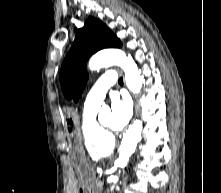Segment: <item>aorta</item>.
Instances as JSON below:
<instances>
[{
	"mask_svg": "<svg viewBox=\"0 0 221 193\" xmlns=\"http://www.w3.org/2000/svg\"><path fill=\"white\" fill-rule=\"evenodd\" d=\"M117 65L121 67L125 73V82L130 91L134 94H138L143 86V77L140 75L138 66L132 57L127 56L125 52L119 49L103 50L95 54L89 60V68L93 71L99 70L104 67H110ZM108 111L107 108H103L100 111V115ZM142 121L136 120L129 126L126 133L123 135L120 147L119 157L115 164L118 167L125 168L131 155L135 152L138 142L141 139ZM112 182L115 185L118 182V177L113 176ZM111 187V191L115 186Z\"/></svg>",
	"mask_w": 221,
	"mask_h": 193,
	"instance_id": "1",
	"label": "aorta"
}]
</instances>
